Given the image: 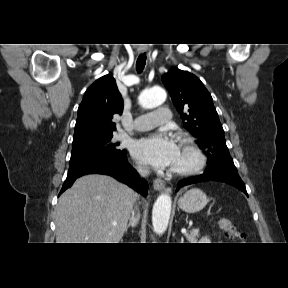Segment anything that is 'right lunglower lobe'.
I'll use <instances>...</instances> for the list:
<instances>
[{
	"instance_id": "98d812e1",
	"label": "right lung lower lobe",
	"mask_w": 288,
	"mask_h": 288,
	"mask_svg": "<svg viewBox=\"0 0 288 288\" xmlns=\"http://www.w3.org/2000/svg\"><path fill=\"white\" fill-rule=\"evenodd\" d=\"M91 173L110 175L134 188L143 196L147 195L148 184L139 179L136 170L127 162L126 152L119 157L97 155L70 162L67 178L60 194L68 189L78 177Z\"/></svg>"
}]
</instances>
